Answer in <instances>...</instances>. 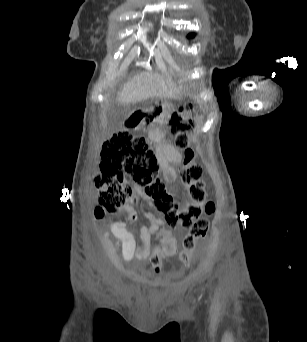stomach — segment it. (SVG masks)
I'll list each match as a JSON object with an SVG mask.
<instances>
[{
	"mask_svg": "<svg viewBox=\"0 0 307 342\" xmlns=\"http://www.w3.org/2000/svg\"><path fill=\"white\" fill-rule=\"evenodd\" d=\"M173 111V105L164 101L160 107L133 112L129 116L128 122L136 130L142 129L146 125L149 129H154L168 123Z\"/></svg>",
	"mask_w": 307,
	"mask_h": 342,
	"instance_id": "0dacf381",
	"label": "stomach"
}]
</instances>
